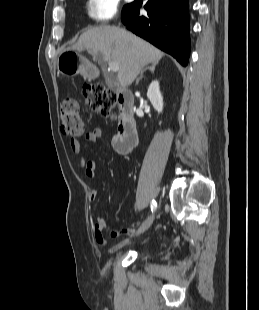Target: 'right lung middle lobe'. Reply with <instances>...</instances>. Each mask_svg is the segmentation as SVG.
<instances>
[{"instance_id":"1","label":"right lung middle lobe","mask_w":259,"mask_h":310,"mask_svg":"<svg viewBox=\"0 0 259 310\" xmlns=\"http://www.w3.org/2000/svg\"><path fill=\"white\" fill-rule=\"evenodd\" d=\"M128 7V5L124 6L123 10L126 9Z\"/></svg>"}]
</instances>
